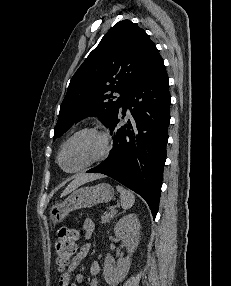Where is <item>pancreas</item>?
Wrapping results in <instances>:
<instances>
[{
    "label": "pancreas",
    "instance_id": "pancreas-1",
    "mask_svg": "<svg viewBox=\"0 0 231 286\" xmlns=\"http://www.w3.org/2000/svg\"><path fill=\"white\" fill-rule=\"evenodd\" d=\"M114 215H115V211L105 212L101 216V222L102 223H108L110 221V219L114 217Z\"/></svg>",
    "mask_w": 231,
    "mask_h": 286
}]
</instances>
